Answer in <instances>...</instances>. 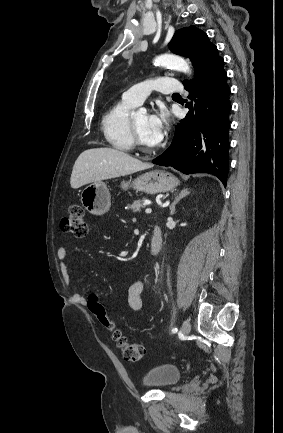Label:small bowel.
Returning a JSON list of instances; mask_svg holds the SVG:
<instances>
[{"mask_svg":"<svg viewBox=\"0 0 283 433\" xmlns=\"http://www.w3.org/2000/svg\"><path fill=\"white\" fill-rule=\"evenodd\" d=\"M57 258L59 260L60 272L66 283L70 282L69 267L67 262L68 251L66 247L61 246L57 249ZM145 289V283L143 281H136L132 283L128 288L127 300L130 308L134 311H141L143 308L142 293ZM72 300L80 305L87 304V298L79 292L72 294Z\"/></svg>","mask_w":283,"mask_h":433,"instance_id":"1","label":"small bowel"}]
</instances>
